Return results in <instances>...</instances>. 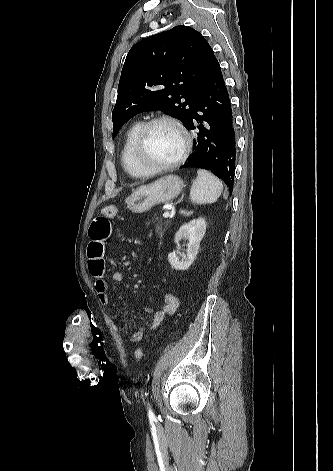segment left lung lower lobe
<instances>
[{"label":"left lung lower lobe","instance_id":"left-lung-lower-lobe-1","mask_svg":"<svg viewBox=\"0 0 333 471\" xmlns=\"http://www.w3.org/2000/svg\"><path fill=\"white\" fill-rule=\"evenodd\" d=\"M186 127L193 132L194 152L181 168L208 169L232 190L236 132L230 98L217 60L198 92L194 114Z\"/></svg>","mask_w":333,"mask_h":471}]
</instances>
